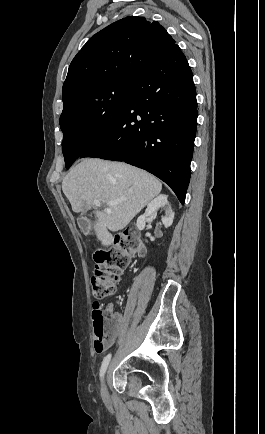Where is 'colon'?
Segmentation results:
<instances>
[{
  "label": "colon",
  "mask_w": 265,
  "mask_h": 434,
  "mask_svg": "<svg viewBox=\"0 0 265 434\" xmlns=\"http://www.w3.org/2000/svg\"><path fill=\"white\" fill-rule=\"evenodd\" d=\"M122 247H126L122 245ZM128 257L120 252L103 250L94 257L95 274L91 277V292L94 300L92 311L93 320V344L95 347H106L108 344L105 331L107 328V317L101 314V303L99 301L113 295L117 289V284L126 269Z\"/></svg>",
  "instance_id": "1"
}]
</instances>
